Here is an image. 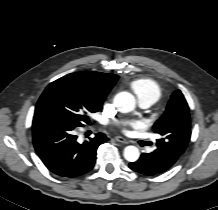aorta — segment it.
I'll return each mask as SVG.
<instances>
[{
    "instance_id": "1",
    "label": "aorta",
    "mask_w": 218,
    "mask_h": 210,
    "mask_svg": "<svg viewBox=\"0 0 218 210\" xmlns=\"http://www.w3.org/2000/svg\"><path fill=\"white\" fill-rule=\"evenodd\" d=\"M114 104L122 113H128L135 108V98L129 92H120L114 99ZM140 153L137 147L127 146L124 149V158L129 162H135L139 159Z\"/></svg>"
}]
</instances>
